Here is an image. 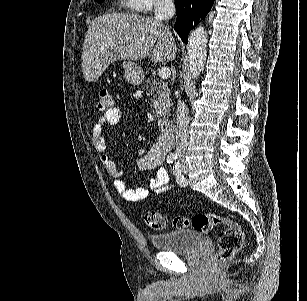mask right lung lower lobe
<instances>
[{"instance_id": "obj_1", "label": "right lung lower lobe", "mask_w": 307, "mask_h": 301, "mask_svg": "<svg viewBox=\"0 0 307 301\" xmlns=\"http://www.w3.org/2000/svg\"><path fill=\"white\" fill-rule=\"evenodd\" d=\"M213 2L214 0H175L177 18L174 29L184 43L187 44L188 33L208 14Z\"/></svg>"}]
</instances>
